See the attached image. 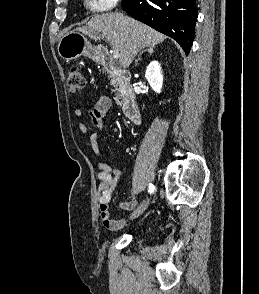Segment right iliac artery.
Segmentation results:
<instances>
[{"label": "right iliac artery", "mask_w": 259, "mask_h": 294, "mask_svg": "<svg viewBox=\"0 0 259 294\" xmlns=\"http://www.w3.org/2000/svg\"><path fill=\"white\" fill-rule=\"evenodd\" d=\"M148 192H149L150 194H152V193L154 192V186H153L152 184L149 185V190H148Z\"/></svg>", "instance_id": "obj_1"}]
</instances>
